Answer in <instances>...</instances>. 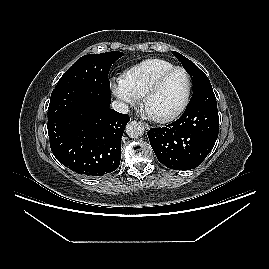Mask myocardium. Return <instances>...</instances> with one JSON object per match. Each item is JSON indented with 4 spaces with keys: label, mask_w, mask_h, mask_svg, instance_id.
<instances>
[{
    "label": "myocardium",
    "mask_w": 269,
    "mask_h": 269,
    "mask_svg": "<svg viewBox=\"0 0 269 269\" xmlns=\"http://www.w3.org/2000/svg\"><path fill=\"white\" fill-rule=\"evenodd\" d=\"M176 71H183L187 77L188 84H187V91H186L185 97H184L182 103L180 104V106L170 113H167V114L161 115V116H154V115H150L147 113L148 116L155 122L166 123V122L172 121L175 118H177L180 114H182L184 112V110L186 109V107L188 106V103L190 101L191 94H192V88H193V82H192L191 75L186 68L181 67V66H174L171 69L166 70L165 72L160 74L153 81V83L144 91V93L142 94V99H141L142 108L146 111V104H147L148 100L150 99V97L152 95H154L160 89V87L162 86L164 81L172 73H174Z\"/></svg>",
    "instance_id": "myocardium-1"
}]
</instances>
